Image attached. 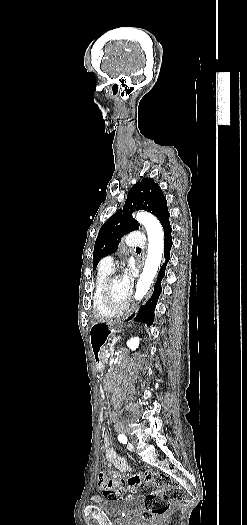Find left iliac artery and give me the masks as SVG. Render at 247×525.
Wrapping results in <instances>:
<instances>
[{
    "label": "left iliac artery",
    "mask_w": 247,
    "mask_h": 525,
    "mask_svg": "<svg viewBox=\"0 0 247 525\" xmlns=\"http://www.w3.org/2000/svg\"><path fill=\"white\" fill-rule=\"evenodd\" d=\"M118 440L122 443V444H126L128 439L127 437L124 435V434H119L118 435Z\"/></svg>",
    "instance_id": "44dca946"
}]
</instances>
